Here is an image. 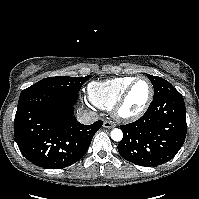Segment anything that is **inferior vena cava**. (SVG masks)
Returning a JSON list of instances; mask_svg holds the SVG:
<instances>
[{
  "label": "inferior vena cava",
  "instance_id": "1",
  "mask_svg": "<svg viewBox=\"0 0 199 199\" xmlns=\"http://www.w3.org/2000/svg\"><path fill=\"white\" fill-rule=\"evenodd\" d=\"M78 121L84 125H90L99 119V116L94 111H83L78 114Z\"/></svg>",
  "mask_w": 199,
  "mask_h": 199
}]
</instances>
